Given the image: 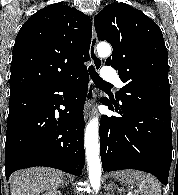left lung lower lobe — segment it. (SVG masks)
I'll list each match as a JSON object with an SVG mask.
<instances>
[{
	"mask_svg": "<svg viewBox=\"0 0 178 195\" xmlns=\"http://www.w3.org/2000/svg\"><path fill=\"white\" fill-rule=\"evenodd\" d=\"M103 103L114 111L107 98ZM113 104L120 117L104 115L100 122L103 170H142L167 185L172 160L171 109L132 99Z\"/></svg>",
	"mask_w": 178,
	"mask_h": 195,
	"instance_id": "obj_1",
	"label": "left lung lower lobe"
}]
</instances>
